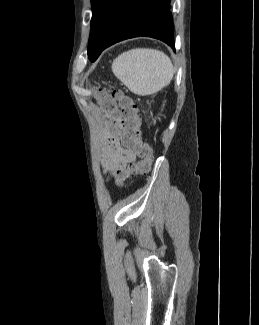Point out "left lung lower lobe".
Wrapping results in <instances>:
<instances>
[{
	"instance_id": "left-lung-lower-lobe-1",
	"label": "left lung lower lobe",
	"mask_w": 259,
	"mask_h": 325,
	"mask_svg": "<svg viewBox=\"0 0 259 325\" xmlns=\"http://www.w3.org/2000/svg\"><path fill=\"white\" fill-rule=\"evenodd\" d=\"M170 0H124L104 32L101 50L133 37L159 39L175 50Z\"/></svg>"
}]
</instances>
